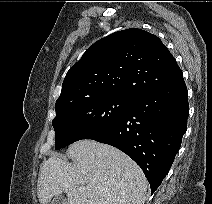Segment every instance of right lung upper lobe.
<instances>
[{"label": "right lung upper lobe", "instance_id": "1", "mask_svg": "<svg viewBox=\"0 0 212 204\" xmlns=\"http://www.w3.org/2000/svg\"><path fill=\"white\" fill-rule=\"evenodd\" d=\"M182 77L157 36L138 28L118 31L94 43L69 69L56 109L104 96L133 98Z\"/></svg>", "mask_w": 212, "mask_h": 204}]
</instances>
